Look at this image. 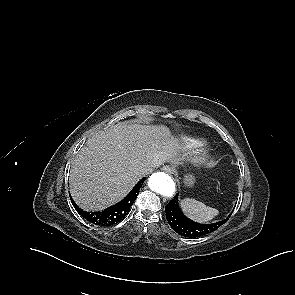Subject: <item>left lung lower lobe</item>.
<instances>
[{"mask_svg":"<svg viewBox=\"0 0 295 295\" xmlns=\"http://www.w3.org/2000/svg\"><path fill=\"white\" fill-rule=\"evenodd\" d=\"M166 219L172 229L188 238L209 234L222 226L229 218L212 224H199L187 218L178 206L177 198L172 199L165 207Z\"/></svg>","mask_w":295,"mask_h":295,"instance_id":"0a47b994","label":"left lung lower lobe"}]
</instances>
